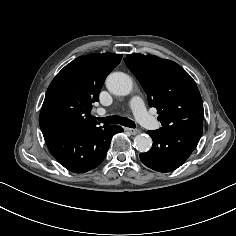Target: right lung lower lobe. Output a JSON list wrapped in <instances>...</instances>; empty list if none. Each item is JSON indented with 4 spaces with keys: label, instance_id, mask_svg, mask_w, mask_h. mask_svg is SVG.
<instances>
[{
    "label": "right lung lower lobe",
    "instance_id": "1",
    "mask_svg": "<svg viewBox=\"0 0 236 236\" xmlns=\"http://www.w3.org/2000/svg\"><path fill=\"white\" fill-rule=\"evenodd\" d=\"M120 126L58 129L43 132L51 154L66 169L84 173L97 167L105 158L111 138L122 132Z\"/></svg>",
    "mask_w": 236,
    "mask_h": 236
}]
</instances>
